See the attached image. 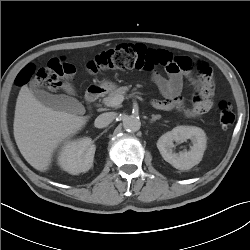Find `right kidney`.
Listing matches in <instances>:
<instances>
[{
    "label": "right kidney",
    "mask_w": 250,
    "mask_h": 250,
    "mask_svg": "<svg viewBox=\"0 0 250 250\" xmlns=\"http://www.w3.org/2000/svg\"><path fill=\"white\" fill-rule=\"evenodd\" d=\"M96 147L89 137L67 142L59 152L58 164L66 172L77 175L93 166Z\"/></svg>",
    "instance_id": "right-kidney-1"
}]
</instances>
